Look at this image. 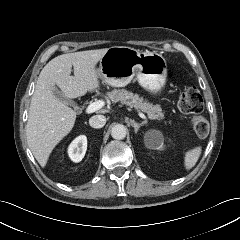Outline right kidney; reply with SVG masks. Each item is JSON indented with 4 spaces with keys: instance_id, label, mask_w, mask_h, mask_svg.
<instances>
[{
    "instance_id": "right-kidney-1",
    "label": "right kidney",
    "mask_w": 240,
    "mask_h": 240,
    "mask_svg": "<svg viewBox=\"0 0 240 240\" xmlns=\"http://www.w3.org/2000/svg\"><path fill=\"white\" fill-rule=\"evenodd\" d=\"M86 150L87 138L85 135H80L70 144L68 154L73 162H80L85 156Z\"/></svg>"
}]
</instances>
